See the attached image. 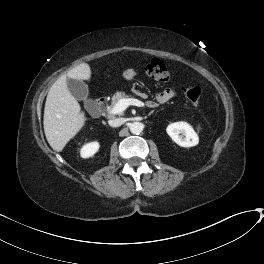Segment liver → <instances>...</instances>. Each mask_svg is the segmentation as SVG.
Segmentation results:
<instances>
[{
  "instance_id": "1",
  "label": "liver",
  "mask_w": 264,
  "mask_h": 264,
  "mask_svg": "<svg viewBox=\"0 0 264 264\" xmlns=\"http://www.w3.org/2000/svg\"><path fill=\"white\" fill-rule=\"evenodd\" d=\"M91 68L81 63L58 78L51 86L44 108V132L53 150L61 152L86 122L85 113L71 94L67 79L90 80Z\"/></svg>"
}]
</instances>
